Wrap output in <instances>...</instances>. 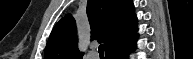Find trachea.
<instances>
[{
	"mask_svg": "<svg viewBox=\"0 0 193 59\" xmlns=\"http://www.w3.org/2000/svg\"><path fill=\"white\" fill-rule=\"evenodd\" d=\"M98 52H99L100 55H104V45L103 44L99 45Z\"/></svg>",
	"mask_w": 193,
	"mask_h": 59,
	"instance_id": "3493384b",
	"label": "trachea"
}]
</instances>
